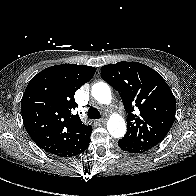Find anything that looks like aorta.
<instances>
[{"label": "aorta", "mask_w": 196, "mask_h": 196, "mask_svg": "<svg viewBox=\"0 0 196 196\" xmlns=\"http://www.w3.org/2000/svg\"><path fill=\"white\" fill-rule=\"evenodd\" d=\"M91 94L101 104L108 105L112 101L110 87L105 82L95 83L91 88ZM107 129L114 138H121L126 133V124L120 115H113L107 122Z\"/></svg>", "instance_id": "obj_1"}]
</instances>
